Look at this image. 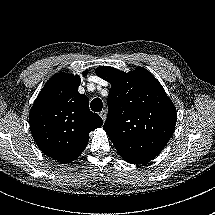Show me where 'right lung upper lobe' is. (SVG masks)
<instances>
[{"instance_id": "obj_1", "label": "right lung upper lobe", "mask_w": 215, "mask_h": 215, "mask_svg": "<svg viewBox=\"0 0 215 215\" xmlns=\"http://www.w3.org/2000/svg\"><path fill=\"white\" fill-rule=\"evenodd\" d=\"M83 72V76L87 75ZM78 75H53L37 96L29 114L30 130L40 150L62 163L84 151L89 133L102 126L101 117L89 110L86 95L78 92Z\"/></svg>"}]
</instances>
